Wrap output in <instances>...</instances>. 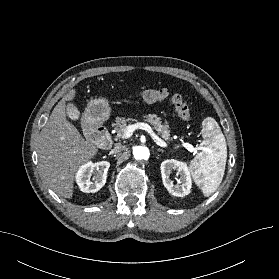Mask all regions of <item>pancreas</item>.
Instances as JSON below:
<instances>
[{
  "mask_svg": "<svg viewBox=\"0 0 279 279\" xmlns=\"http://www.w3.org/2000/svg\"><path fill=\"white\" fill-rule=\"evenodd\" d=\"M144 120L152 125L157 133L166 141H171L169 125L166 123H162L161 119L156 115L149 114L144 116ZM132 119L128 118H116L115 122L112 124L114 130L117 133V138H123L124 131L126 127L129 125Z\"/></svg>",
  "mask_w": 279,
  "mask_h": 279,
  "instance_id": "pancreas-1",
  "label": "pancreas"
}]
</instances>
